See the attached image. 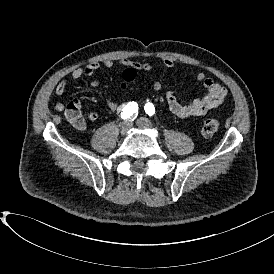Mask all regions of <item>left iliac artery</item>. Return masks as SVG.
Instances as JSON below:
<instances>
[{
	"label": "left iliac artery",
	"mask_w": 274,
	"mask_h": 274,
	"mask_svg": "<svg viewBox=\"0 0 274 274\" xmlns=\"http://www.w3.org/2000/svg\"><path fill=\"white\" fill-rule=\"evenodd\" d=\"M144 109H145V112H146L149 116H152V115H154V113H155L154 105H153L152 103H150V102H148V103L145 105Z\"/></svg>",
	"instance_id": "obj_1"
}]
</instances>
